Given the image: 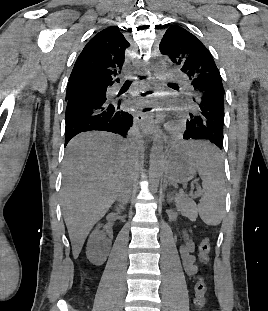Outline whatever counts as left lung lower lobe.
Returning <instances> with one entry per match:
<instances>
[{"instance_id":"left-lung-lower-lobe-1","label":"left lung lower lobe","mask_w":268,"mask_h":311,"mask_svg":"<svg viewBox=\"0 0 268 311\" xmlns=\"http://www.w3.org/2000/svg\"><path fill=\"white\" fill-rule=\"evenodd\" d=\"M194 111L189 114L182 142L186 140H207L223 148L224 93L205 92L193 97Z\"/></svg>"}]
</instances>
